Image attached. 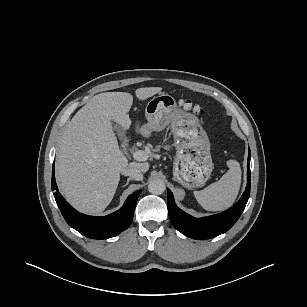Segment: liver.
Here are the masks:
<instances>
[{
  "mask_svg": "<svg viewBox=\"0 0 307 307\" xmlns=\"http://www.w3.org/2000/svg\"><path fill=\"white\" fill-rule=\"evenodd\" d=\"M161 87L135 91L139 100L159 93ZM133 96L127 92H105L95 95L68 123L56 158V179L67 201L77 210L99 214L112 201L121 170L133 166L147 172L149 163H128L120 151L112 121L128 130V112ZM136 132L142 134L139 125Z\"/></svg>",
  "mask_w": 307,
  "mask_h": 307,
  "instance_id": "6515ba94",
  "label": "liver"
}]
</instances>
